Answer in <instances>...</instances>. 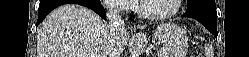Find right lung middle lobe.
Wrapping results in <instances>:
<instances>
[{
  "label": "right lung middle lobe",
  "instance_id": "obj_1",
  "mask_svg": "<svg viewBox=\"0 0 249 57\" xmlns=\"http://www.w3.org/2000/svg\"><path fill=\"white\" fill-rule=\"evenodd\" d=\"M87 1H90V2H93V3H100V0H87Z\"/></svg>",
  "mask_w": 249,
  "mask_h": 57
}]
</instances>
